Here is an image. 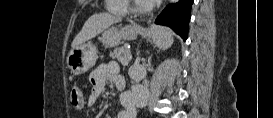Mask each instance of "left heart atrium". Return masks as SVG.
Segmentation results:
<instances>
[{"instance_id":"39dd6f15","label":"left heart atrium","mask_w":273,"mask_h":118,"mask_svg":"<svg viewBox=\"0 0 273 118\" xmlns=\"http://www.w3.org/2000/svg\"><path fill=\"white\" fill-rule=\"evenodd\" d=\"M161 0H146L145 2L148 4V5H154V4H156V3H158V2H160Z\"/></svg>"}]
</instances>
